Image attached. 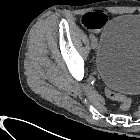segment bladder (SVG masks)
Segmentation results:
<instances>
[{"instance_id":"bladder-1","label":"bladder","mask_w":140,"mask_h":140,"mask_svg":"<svg viewBox=\"0 0 140 140\" xmlns=\"http://www.w3.org/2000/svg\"><path fill=\"white\" fill-rule=\"evenodd\" d=\"M95 64L109 89L122 95L140 93V14L118 15L106 24Z\"/></svg>"}]
</instances>
